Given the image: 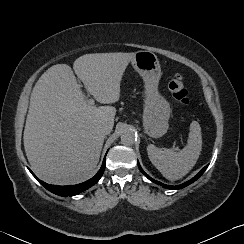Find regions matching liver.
<instances>
[{"label":"liver","mask_w":244,"mask_h":244,"mask_svg":"<svg viewBox=\"0 0 244 244\" xmlns=\"http://www.w3.org/2000/svg\"><path fill=\"white\" fill-rule=\"evenodd\" d=\"M135 53L85 54L73 69L86 90L102 104L120 98V84ZM113 106H92L67 64H57L35 84L24 129V149L36 175L45 182L71 185L86 180L99 162L104 135L98 126L114 125Z\"/></svg>","instance_id":"1"}]
</instances>
